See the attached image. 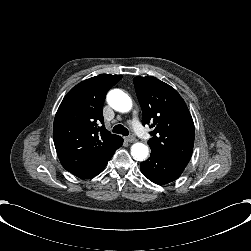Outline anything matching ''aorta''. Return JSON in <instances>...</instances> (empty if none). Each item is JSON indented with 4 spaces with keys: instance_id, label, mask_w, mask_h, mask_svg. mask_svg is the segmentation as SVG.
<instances>
[{
    "instance_id": "aorta-1",
    "label": "aorta",
    "mask_w": 251,
    "mask_h": 251,
    "mask_svg": "<svg viewBox=\"0 0 251 251\" xmlns=\"http://www.w3.org/2000/svg\"><path fill=\"white\" fill-rule=\"evenodd\" d=\"M107 101L110 106L120 113H129L133 108L132 99L128 94L119 89L108 93ZM149 148L146 144L135 142L131 146V155L135 160L142 161L147 158Z\"/></svg>"
}]
</instances>
